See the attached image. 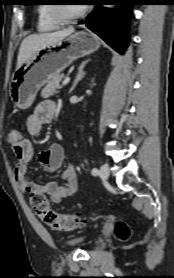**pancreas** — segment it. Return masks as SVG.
Segmentation results:
<instances>
[{
	"mask_svg": "<svg viewBox=\"0 0 174 278\" xmlns=\"http://www.w3.org/2000/svg\"><path fill=\"white\" fill-rule=\"evenodd\" d=\"M63 75L59 74L51 78L48 82L47 85L43 88L41 92V96L43 98H48L50 96H54L55 94L58 93V90L61 89L60 82L63 79Z\"/></svg>",
	"mask_w": 174,
	"mask_h": 278,
	"instance_id": "1",
	"label": "pancreas"
}]
</instances>
